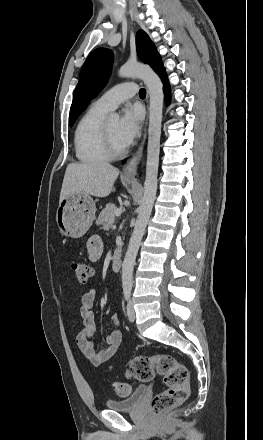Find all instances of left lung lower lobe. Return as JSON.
Listing matches in <instances>:
<instances>
[{
    "label": "left lung lower lobe",
    "mask_w": 263,
    "mask_h": 440,
    "mask_svg": "<svg viewBox=\"0 0 263 440\" xmlns=\"http://www.w3.org/2000/svg\"><path fill=\"white\" fill-rule=\"evenodd\" d=\"M155 71L160 75V77L163 80V83H164L163 89H164V92L167 94L166 100L168 102L169 98H170V96H169V94H170V86H169V83H168V80H167V76H166V72H165V69H164L163 65L157 67L155 69Z\"/></svg>",
    "instance_id": "obj_1"
}]
</instances>
